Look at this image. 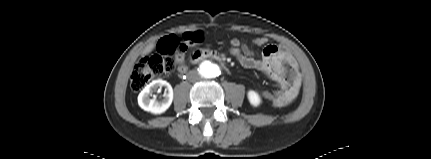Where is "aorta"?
<instances>
[{"label": "aorta", "mask_w": 431, "mask_h": 159, "mask_svg": "<svg viewBox=\"0 0 431 159\" xmlns=\"http://www.w3.org/2000/svg\"><path fill=\"white\" fill-rule=\"evenodd\" d=\"M199 74L201 78L206 80L215 79L221 74L220 67L211 61H205L201 64L199 68Z\"/></svg>", "instance_id": "aorta-1"}]
</instances>
